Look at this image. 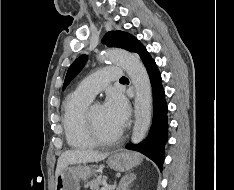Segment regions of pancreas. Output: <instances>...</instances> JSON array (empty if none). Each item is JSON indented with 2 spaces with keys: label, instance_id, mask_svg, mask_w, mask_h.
Returning a JSON list of instances; mask_svg holds the SVG:
<instances>
[{
  "label": "pancreas",
  "instance_id": "pancreas-1",
  "mask_svg": "<svg viewBox=\"0 0 234 190\" xmlns=\"http://www.w3.org/2000/svg\"><path fill=\"white\" fill-rule=\"evenodd\" d=\"M106 179L104 177L98 176L96 179L88 182L85 187H89L90 190H99L100 185H106Z\"/></svg>",
  "mask_w": 234,
  "mask_h": 190
}]
</instances>
